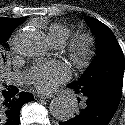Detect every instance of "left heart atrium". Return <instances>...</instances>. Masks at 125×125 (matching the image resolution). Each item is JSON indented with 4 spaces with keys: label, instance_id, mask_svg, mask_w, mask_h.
<instances>
[{
    "label": "left heart atrium",
    "instance_id": "left-heart-atrium-1",
    "mask_svg": "<svg viewBox=\"0 0 125 125\" xmlns=\"http://www.w3.org/2000/svg\"><path fill=\"white\" fill-rule=\"evenodd\" d=\"M69 77L67 67L58 62L39 63L29 68L24 79L41 92L53 90L59 83L66 81Z\"/></svg>",
    "mask_w": 125,
    "mask_h": 125
}]
</instances>
